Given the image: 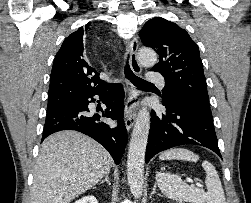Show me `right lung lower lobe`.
<instances>
[{"instance_id": "obj_1", "label": "right lung lower lobe", "mask_w": 251, "mask_h": 203, "mask_svg": "<svg viewBox=\"0 0 251 203\" xmlns=\"http://www.w3.org/2000/svg\"><path fill=\"white\" fill-rule=\"evenodd\" d=\"M113 88H116L113 91ZM110 89V91H106ZM108 93V94H107ZM95 95H106L104 100L106 110L94 112L89 110L88 104L94 102ZM124 90L121 84L107 86L103 89L90 91L78 100L47 111L42 141L49 135L62 130H76L82 132L101 145L111 154L116 164H119L127 144L128 136L123 122ZM92 100H89V99ZM103 118L117 120L113 127L103 122Z\"/></svg>"}]
</instances>
